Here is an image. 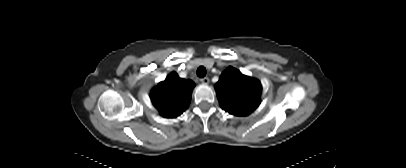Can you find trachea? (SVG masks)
<instances>
[{
    "label": "trachea",
    "mask_w": 406,
    "mask_h": 168,
    "mask_svg": "<svg viewBox=\"0 0 406 168\" xmlns=\"http://www.w3.org/2000/svg\"><path fill=\"white\" fill-rule=\"evenodd\" d=\"M205 75H206V68L203 67V66H200L197 69V76L200 77V78H203Z\"/></svg>",
    "instance_id": "1"
}]
</instances>
